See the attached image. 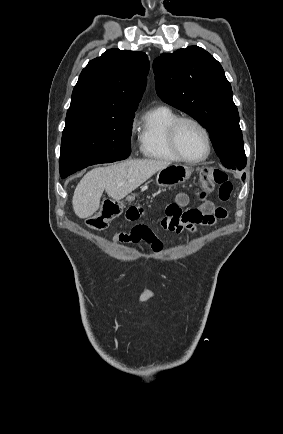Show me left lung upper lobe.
Here are the masks:
<instances>
[{
	"label": "left lung upper lobe",
	"instance_id": "left-lung-upper-lobe-1",
	"mask_svg": "<svg viewBox=\"0 0 283 434\" xmlns=\"http://www.w3.org/2000/svg\"><path fill=\"white\" fill-rule=\"evenodd\" d=\"M153 70L158 96L209 131L225 167L242 170L246 155L239 114L220 63L203 48L189 46L161 54L154 60Z\"/></svg>",
	"mask_w": 283,
	"mask_h": 434
}]
</instances>
